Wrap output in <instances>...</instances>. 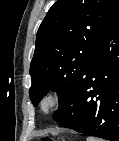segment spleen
<instances>
[{
  "mask_svg": "<svg viewBox=\"0 0 119 141\" xmlns=\"http://www.w3.org/2000/svg\"><path fill=\"white\" fill-rule=\"evenodd\" d=\"M87 141H99V140L94 137H89V138H87Z\"/></svg>",
  "mask_w": 119,
  "mask_h": 141,
  "instance_id": "spleen-1",
  "label": "spleen"
}]
</instances>
